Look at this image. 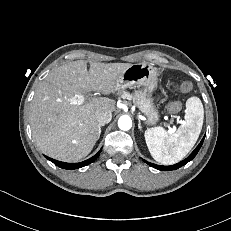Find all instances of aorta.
Returning a JSON list of instances; mask_svg holds the SVG:
<instances>
[{"instance_id": "1", "label": "aorta", "mask_w": 231, "mask_h": 231, "mask_svg": "<svg viewBox=\"0 0 231 231\" xmlns=\"http://www.w3.org/2000/svg\"><path fill=\"white\" fill-rule=\"evenodd\" d=\"M118 127L123 130L127 131L132 127V121L128 116H121L118 120Z\"/></svg>"}]
</instances>
